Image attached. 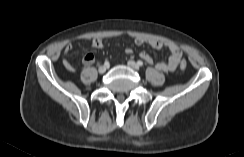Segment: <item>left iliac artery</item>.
<instances>
[{"label":"left iliac artery","instance_id":"left-iliac-artery-1","mask_svg":"<svg viewBox=\"0 0 244 157\" xmlns=\"http://www.w3.org/2000/svg\"><path fill=\"white\" fill-rule=\"evenodd\" d=\"M137 65H138L139 67H142V66H143V62H142L141 60H138V61H137Z\"/></svg>","mask_w":244,"mask_h":157}]
</instances>
